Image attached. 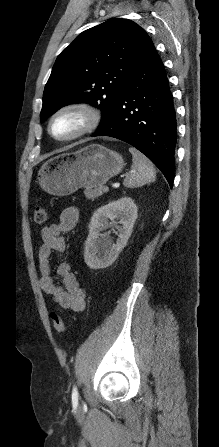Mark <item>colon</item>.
<instances>
[{
  "label": "colon",
  "instance_id": "colon-1",
  "mask_svg": "<svg viewBox=\"0 0 219 447\" xmlns=\"http://www.w3.org/2000/svg\"><path fill=\"white\" fill-rule=\"evenodd\" d=\"M48 219V213L45 207L43 206H36L34 211V222L36 225H43L47 222ZM51 321L53 324L54 329L58 333H62L65 330V322L63 317L57 313L52 312L51 313Z\"/></svg>",
  "mask_w": 219,
  "mask_h": 447
}]
</instances>
